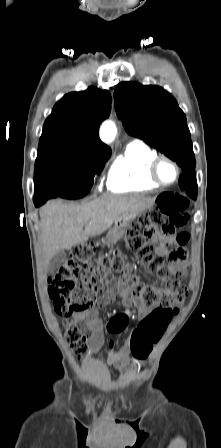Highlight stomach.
I'll return each mask as SVG.
<instances>
[{"label": "stomach", "mask_w": 221, "mask_h": 448, "mask_svg": "<svg viewBox=\"0 0 221 448\" xmlns=\"http://www.w3.org/2000/svg\"><path fill=\"white\" fill-rule=\"evenodd\" d=\"M153 205V201H148L143 203L140 207L136 209H130L123 213L115 222L114 226L109 230L107 234V240L109 243H115L120 240L126 228L130 223L142 212L146 211Z\"/></svg>", "instance_id": "1"}]
</instances>
